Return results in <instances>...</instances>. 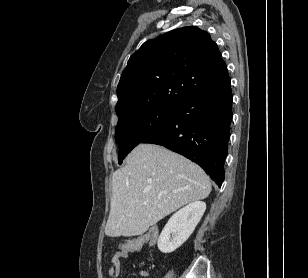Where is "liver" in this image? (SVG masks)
<instances>
[{
	"mask_svg": "<svg viewBox=\"0 0 308 278\" xmlns=\"http://www.w3.org/2000/svg\"><path fill=\"white\" fill-rule=\"evenodd\" d=\"M209 177L187 158L155 144H139L112 176L109 237L142 235L182 206L205 199Z\"/></svg>",
	"mask_w": 308,
	"mask_h": 278,
	"instance_id": "1",
	"label": "liver"
}]
</instances>
